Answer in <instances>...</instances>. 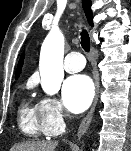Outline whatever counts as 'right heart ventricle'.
<instances>
[{"instance_id":"1","label":"right heart ventricle","mask_w":131,"mask_h":151,"mask_svg":"<svg viewBox=\"0 0 131 151\" xmlns=\"http://www.w3.org/2000/svg\"><path fill=\"white\" fill-rule=\"evenodd\" d=\"M19 127L30 137L48 135L41 120L39 103H33L28 99L23 100L19 109Z\"/></svg>"}]
</instances>
